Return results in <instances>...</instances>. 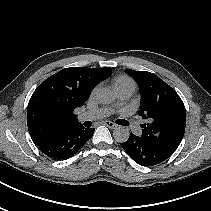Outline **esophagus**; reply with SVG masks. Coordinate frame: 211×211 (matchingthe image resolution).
Returning <instances> with one entry per match:
<instances>
[{
  "label": "esophagus",
  "instance_id": "obj_1",
  "mask_svg": "<svg viewBox=\"0 0 211 211\" xmlns=\"http://www.w3.org/2000/svg\"><path fill=\"white\" fill-rule=\"evenodd\" d=\"M103 123H104V125H106L107 127L111 128V129H115L117 127V125L112 121H104Z\"/></svg>",
  "mask_w": 211,
  "mask_h": 211
}]
</instances>
